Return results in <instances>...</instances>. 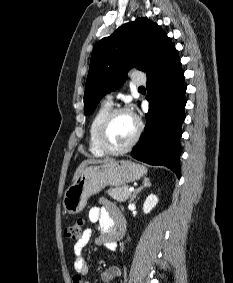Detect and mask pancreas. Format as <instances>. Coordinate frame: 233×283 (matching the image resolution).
<instances>
[{
  "mask_svg": "<svg viewBox=\"0 0 233 283\" xmlns=\"http://www.w3.org/2000/svg\"><path fill=\"white\" fill-rule=\"evenodd\" d=\"M129 186L124 185L121 187L110 188L107 193L111 198L118 202H125L131 196V192L128 191Z\"/></svg>",
  "mask_w": 233,
  "mask_h": 283,
  "instance_id": "pancreas-1",
  "label": "pancreas"
}]
</instances>
